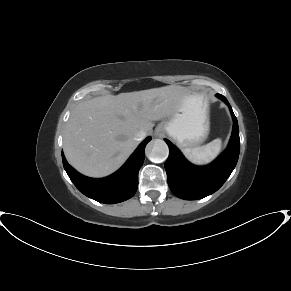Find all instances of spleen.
Returning <instances> with one entry per match:
<instances>
[{"label": "spleen", "mask_w": 291, "mask_h": 291, "mask_svg": "<svg viewBox=\"0 0 291 291\" xmlns=\"http://www.w3.org/2000/svg\"><path fill=\"white\" fill-rule=\"evenodd\" d=\"M221 146L222 141L220 138H217L201 147L184 148L182 152L190 162L197 165H204L210 163L217 157Z\"/></svg>", "instance_id": "obj_1"}]
</instances>
